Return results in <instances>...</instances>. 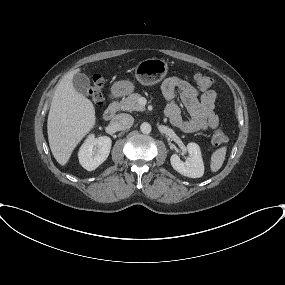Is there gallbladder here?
<instances>
[{
  "label": "gallbladder",
  "mask_w": 285,
  "mask_h": 285,
  "mask_svg": "<svg viewBox=\"0 0 285 285\" xmlns=\"http://www.w3.org/2000/svg\"><path fill=\"white\" fill-rule=\"evenodd\" d=\"M73 86L75 90L83 96H88L90 89V80L88 76L83 73H77L73 77Z\"/></svg>",
  "instance_id": "obj_1"
}]
</instances>
